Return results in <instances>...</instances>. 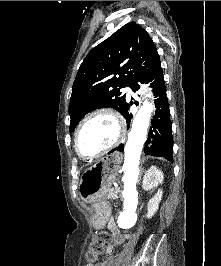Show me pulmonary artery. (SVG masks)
I'll return each instance as SVG.
<instances>
[{
	"mask_svg": "<svg viewBox=\"0 0 221 266\" xmlns=\"http://www.w3.org/2000/svg\"><path fill=\"white\" fill-rule=\"evenodd\" d=\"M125 91H126L128 94L131 93V90H130V88H128V87L125 89Z\"/></svg>",
	"mask_w": 221,
	"mask_h": 266,
	"instance_id": "pulmonary-artery-1",
	"label": "pulmonary artery"
}]
</instances>
